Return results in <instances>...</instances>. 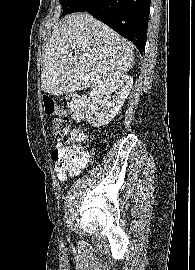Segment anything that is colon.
<instances>
[{"label": "colon", "instance_id": "1", "mask_svg": "<svg viewBox=\"0 0 195 270\" xmlns=\"http://www.w3.org/2000/svg\"><path fill=\"white\" fill-rule=\"evenodd\" d=\"M64 104L74 119H82L86 108V97L80 93H70L65 96ZM44 111L47 115L55 116L53 130L57 136H63L70 127V120L65 111L50 96L43 98ZM84 135L81 131L72 132L66 141L56 145L52 150V160L59 179L64 180L67 175L75 174L87 161V152L81 143Z\"/></svg>", "mask_w": 195, "mask_h": 270}]
</instances>
